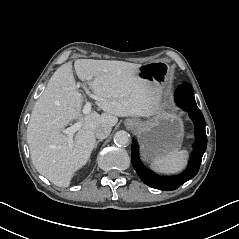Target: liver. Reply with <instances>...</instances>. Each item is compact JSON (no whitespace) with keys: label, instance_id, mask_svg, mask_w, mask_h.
<instances>
[{"label":"liver","instance_id":"6515ba94","mask_svg":"<svg viewBox=\"0 0 239 239\" xmlns=\"http://www.w3.org/2000/svg\"><path fill=\"white\" fill-rule=\"evenodd\" d=\"M75 70L90 84L96 104L105 112L83 113L82 97L75 87L73 64L65 63L50 78L35 103L27 127V143L34 167L58 187H69L97 146L95 130L113 127L117 117H151L160 101L161 83L141 76V64L117 60L77 59ZM76 121L72 139L61 129Z\"/></svg>","mask_w":239,"mask_h":239}]
</instances>
